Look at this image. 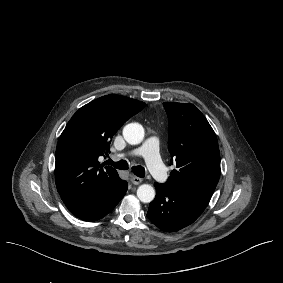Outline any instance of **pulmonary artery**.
<instances>
[{"mask_svg": "<svg viewBox=\"0 0 283 283\" xmlns=\"http://www.w3.org/2000/svg\"><path fill=\"white\" fill-rule=\"evenodd\" d=\"M159 139L155 136L148 137L142 145L134 146L132 149L126 148L123 154L126 157L129 156H140L146 164L147 168L150 169L154 180L158 184H165L167 182V175L165 174L162 157L156 154L159 146Z\"/></svg>", "mask_w": 283, "mask_h": 283, "instance_id": "1", "label": "pulmonary artery"}]
</instances>
